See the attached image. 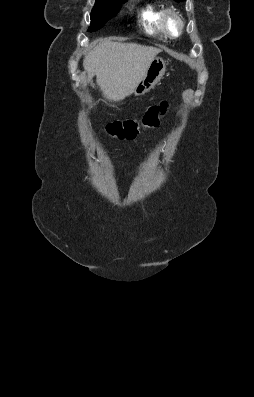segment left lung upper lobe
Listing matches in <instances>:
<instances>
[{
  "label": "left lung upper lobe",
  "instance_id": "5c2ea615",
  "mask_svg": "<svg viewBox=\"0 0 254 397\" xmlns=\"http://www.w3.org/2000/svg\"><path fill=\"white\" fill-rule=\"evenodd\" d=\"M175 1L180 2V1H183V0H175Z\"/></svg>",
  "mask_w": 254,
  "mask_h": 397
}]
</instances>
